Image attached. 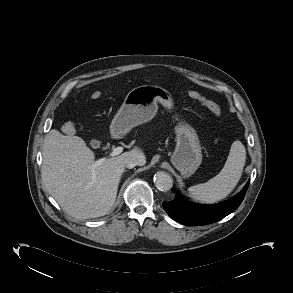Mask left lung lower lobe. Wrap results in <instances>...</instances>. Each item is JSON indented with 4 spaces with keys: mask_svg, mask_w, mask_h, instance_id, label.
I'll use <instances>...</instances> for the list:
<instances>
[{
    "mask_svg": "<svg viewBox=\"0 0 293 293\" xmlns=\"http://www.w3.org/2000/svg\"><path fill=\"white\" fill-rule=\"evenodd\" d=\"M249 182L243 190L233 198L215 205H198L184 201L178 194L173 201L163 202L168 215L188 226L206 225L221 220L235 211L246 194Z\"/></svg>",
    "mask_w": 293,
    "mask_h": 293,
    "instance_id": "0a47b994",
    "label": "left lung lower lobe"
}]
</instances>
